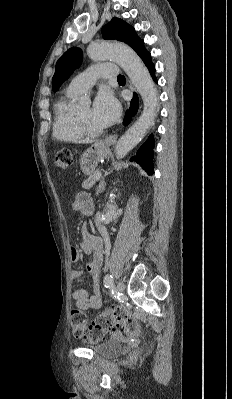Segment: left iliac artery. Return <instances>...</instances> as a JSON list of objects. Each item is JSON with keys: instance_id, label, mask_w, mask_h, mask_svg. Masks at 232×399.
I'll use <instances>...</instances> for the list:
<instances>
[{"instance_id": "44dca946", "label": "left iliac artery", "mask_w": 232, "mask_h": 399, "mask_svg": "<svg viewBox=\"0 0 232 399\" xmlns=\"http://www.w3.org/2000/svg\"><path fill=\"white\" fill-rule=\"evenodd\" d=\"M104 285L106 288H109L111 290V293L113 295V297L116 300H120L122 297V294L119 292V290L117 289V287L114 285L113 283V276L110 274H107L104 278Z\"/></svg>"}]
</instances>
